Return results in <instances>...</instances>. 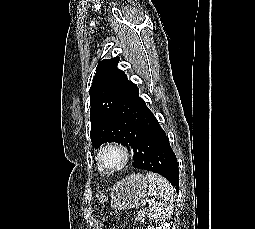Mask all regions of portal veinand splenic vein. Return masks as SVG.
Masks as SVG:
<instances>
[{
  "instance_id": "obj_1",
  "label": "portal vein and splenic vein",
  "mask_w": 255,
  "mask_h": 229,
  "mask_svg": "<svg viewBox=\"0 0 255 229\" xmlns=\"http://www.w3.org/2000/svg\"><path fill=\"white\" fill-rule=\"evenodd\" d=\"M147 202H150V200L146 199L143 201V205L145 206Z\"/></svg>"
}]
</instances>
